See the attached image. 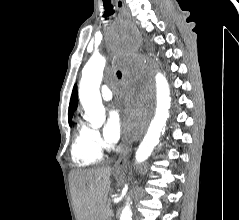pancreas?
<instances>
[{"label":"pancreas","mask_w":239,"mask_h":220,"mask_svg":"<svg viewBox=\"0 0 239 220\" xmlns=\"http://www.w3.org/2000/svg\"><path fill=\"white\" fill-rule=\"evenodd\" d=\"M111 215H112V211L110 209V206H106V208L104 209L102 213V220H111Z\"/></svg>","instance_id":"pancreas-1"}]
</instances>
